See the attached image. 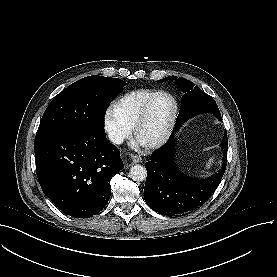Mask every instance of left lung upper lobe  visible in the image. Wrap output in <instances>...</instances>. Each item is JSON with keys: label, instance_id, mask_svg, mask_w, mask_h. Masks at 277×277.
<instances>
[{"label": "left lung upper lobe", "instance_id": "left-lung-upper-lobe-1", "mask_svg": "<svg viewBox=\"0 0 277 277\" xmlns=\"http://www.w3.org/2000/svg\"><path fill=\"white\" fill-rule=\"evenodd\" d=\"M176 79V76H169L159 80L164 82ZM176 82L179 88L184 93L181 101V109L176 121V128L178 129L189 118L200 114L209 112L214 114L219 120H222L220 111L215 100L199 87L194 86V83L184 78H177Z\"/></svg>", "mask_w": 277, "mask_h": 277}]
</instances>
